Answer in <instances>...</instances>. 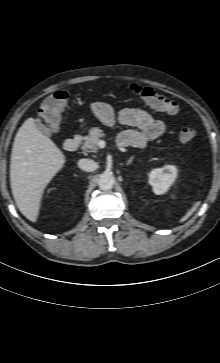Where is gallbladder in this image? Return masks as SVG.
<instances>
[{
	"instance_id": "bac80fb5",
	"label": "gallbladder",
	"mask_w": 220,
	"mask_h": 363,
	"mask_svg": "<svg viewBox=\"0 0 220 363\" xmlns=\"http://www.w3.org/2000/svg\"><path fill=\"white\" fill-rule=\"evenodd\" d=\"M36 124L38 125V127L42 130V131H47V127L42 123V121L40 119L36 120Z\"/></svg>"
}]
</instances>
